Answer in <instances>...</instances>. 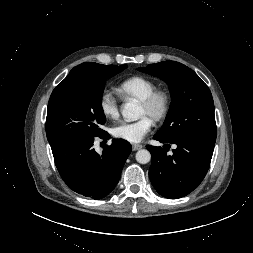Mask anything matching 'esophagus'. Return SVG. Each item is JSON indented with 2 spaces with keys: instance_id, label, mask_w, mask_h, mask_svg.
Wrapping results in <instances>:
<instances>
[{
  "instance_id": "obj_1",
  "label": "esophagus",
  "mask_w": 253,
  "mask_h": 253,
  "mask_svg": "<svg viewBox=\"0 0 253 253\" xmlns=\"http://www.w3.org/2000/svg\"><path fill=\"white\" fill-rule=\"evenodd\" d=\"M143 146L141 144H133L132 145V150L133 151H137L139 149H141Z\"/></svg>"
}]
</instances>
